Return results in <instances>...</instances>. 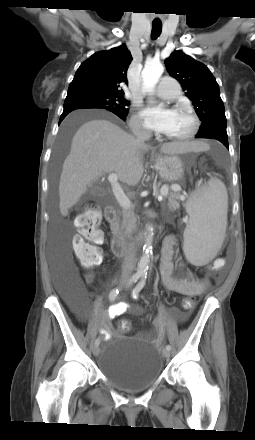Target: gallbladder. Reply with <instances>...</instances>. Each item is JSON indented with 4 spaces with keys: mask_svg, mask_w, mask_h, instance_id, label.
<instances>
[{
    "mask_svg": "<svg viewBox=\"0 0 255 440\" xmlns=\"http://www.w3.org/2000/svg\"><path fill=\"white\" fill-rule=\"evenodd\" d=\"M98 190V187L97 186H92L91 187V189L89 190V193L91 194V193H93V192H96Z\"/></svg>",
    "mask_w": 255,
    "mask_h": 440,
    "instance_id": "obj_1",
    "label": "gallbladder"
}]
</instances>
